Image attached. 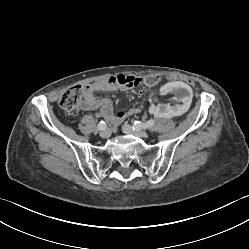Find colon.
Segmentation results:
<instances>
[{"label": "colon", "instance_id": "obj_1", "mask_svg": "<svg viewBox=\"0 0 249 249\" xmlns=\"http://www.w3.org/2000/svg\"><path fill=\"white\" fill-rule=\"evenodd\" d=\"M162 79L160 74L154 76H139L138 79H135L132 84L135 88V96L141 97L148 94L147 87H153L155 83L159 82ZM147 87H138L140 85ZM85 97L84 89L80 85H75L67 89L61 96L60 106L62 110L66 113H75L78 111L81 103Z\"/></svg>", "mask_w": 249, "mask_h": 249}]
</instances>
